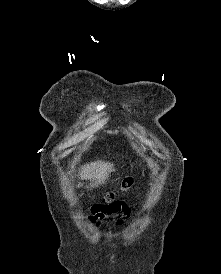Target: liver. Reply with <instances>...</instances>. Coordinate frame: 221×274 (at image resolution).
<instances>
[{"instance_id": "liver-1", "label": "liver", "mask_w": 221, "mask_h": 274, "mask_svg": "<svg viewBox=\"0 0 221 274\" xmlns=\"http://www.w3.org/2000/svg\"><path fill=\"white\" fill-rule=\"evenodd\" d=\"M114 171L113 164L104 161L92 162L81 167L80 177L82 180L95 181L91 187L105 183L109 174Z\"/></svg>"}]
</instances>
